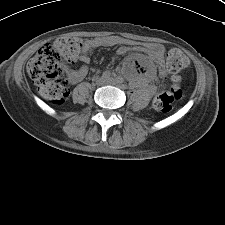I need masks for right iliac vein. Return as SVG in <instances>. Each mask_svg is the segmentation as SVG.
Instances as JSON below:
<instances>
[{
	"mask_svg": "<svg viewBox=\"0 0 225 225\" xmlns=\"http://www.w3.org/2000/svg\"><path fill=\"white\" fill-rule=\"evenodd\" d=\"M105 82L106 81H105V79L103 77H100V78L97 79V84L98 85H103V84H105Z\"/></svg>",
	"mask_w": 225,
	"mask_h": 225,
	"instance_id": "63e3f726",
	"label": "right iliac vein"
}]
</instances>
